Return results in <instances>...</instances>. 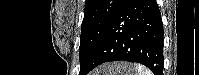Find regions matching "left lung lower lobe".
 Wrapping results in <instances>:
<instances>
[{
  "mask_svg": "<svg viewBox=\"0 0 199 75\" xmlns=\"http://www.w3.org/2000/svg\"><path fill=\"white\" fill-rule=\"evenodd\" d=\"M163 24L156 0H123L87 69L110 61H130L163 74Z\"/></svg>",
  "mask_w": 199,
  "mask_h": 75,
  "instance_id": "0a47b994",
  "label": "left lung lower lobe"
}]
</instances>
